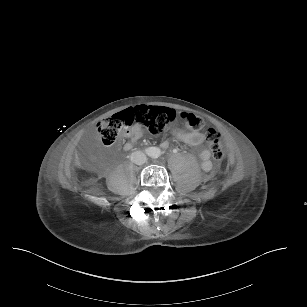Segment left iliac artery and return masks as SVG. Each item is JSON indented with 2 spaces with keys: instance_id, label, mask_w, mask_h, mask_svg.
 <instances>
[{
  "instance_id": "left-iliac-artery-1",
  "label": "left iliac artery",
  "mask_w": 307,
  "mask_h": 307,
  "mask_svg": "<svg viewBox=\"0 0 307 307\" xmlns=\"http://www.w3.org/2000/svg\"><path fill=\"white\" fill-rule=\"evenodd\" d=\"M151 157L153 158H158L160 156V153L159 151H157L156 149L153 150L150 154H149Z\"/></svg>"
}]
</instances>
